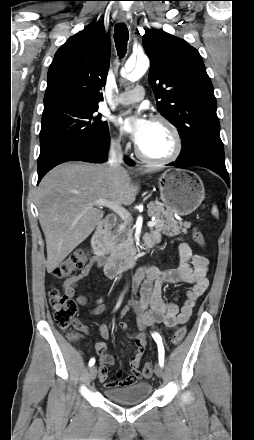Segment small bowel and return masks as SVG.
Instances as JSON below:
<instances>
[{"mask_svg": "<svg viewBox=\"0 0 254 440\" xmlns=\"http://www.w3.org/2000/svg\"><path fill=\"white\" fill-rule=\"evenodd\" d=\"M143 240L154 246L160 241V234L156 231L143 237ZM180 265L175 269L160 271L154 267H141L137 270L134 278V291L139 292V301H132L130 306L135 310L142 330L153 327L155 324H162L167 329H175L177 326L186 323L193 311L198 299L206 292L209 286L207 279L208 259L204 256L193 254L187 243H179ZM103 261L94 256L78 275L68 278L63 284V290L69 297H74L79 282L89 276L96 268H100ZM167 284H185L187 290L181 307L176 302L166 301L163 298V289ZM81 306L88 304V298L84 295L76 297ZM96 306L90 310L91 314H103L106 306L101 297L96 298ZM128 308H124L125 313ZM120 328L127 331L128 337L134 342L135 350L130 358L129 366L131 374L125 379L108 381L107 366L114 363V357L107 354L104 341L95 343V351L101 364L99 380L104 383L107 389L127 386L136 383L141 378L139 370L141 358L146 347V335L136 334L128 331L127 324L121 322ZM98 332L103 340L110 338V330L107 325L98 326ZM120 374V372H119Z\"/></svg>", "mask_w": 254, "mask_h": 440, "instance_id": "small-bowel-1", "label": "small bowel"}]
</instances>
